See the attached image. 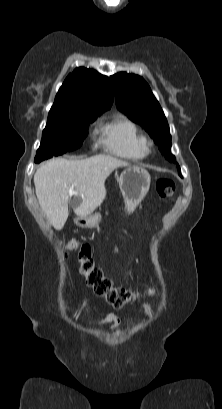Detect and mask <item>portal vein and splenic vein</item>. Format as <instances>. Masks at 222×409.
<instances>
[{
    "label": "portal vein and splenic vein",
    "instance_id": "1",
    "mask_svg": "<svg viewBox=\"0 0 222 409\" xmlns=\"http://www.w3.org/2000/svg\"><path fill=\"white\" fill-rule=\"evenodd\" d=\"M73 187H74V186H72V187H71V189H70V192H72V190H73Z\"/></svg>",
    "mask_w": 222,
    "mask_h": 409
}]
</instances>
